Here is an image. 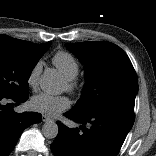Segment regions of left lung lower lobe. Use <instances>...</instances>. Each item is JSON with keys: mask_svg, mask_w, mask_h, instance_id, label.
I'll return each instance as SVG.
<instances>
[{"mask_svg": "<svg viewBox=\"0 0 156 156\" xmlns=\"http://www.w3.org/2000/svg\"><path fill=\"white\" fill-rule=\"evenodd\" d=\"M65 116L81 126L70 129L57 122L59 132L51 144L54 156H117L134 123L133 111L115 106L70 110Z\"/></svg>", "mask_w": 156, "mask_h": 156, "instance_id": "obj_1", "label": "left lung lower lobe"}]
</instances>
